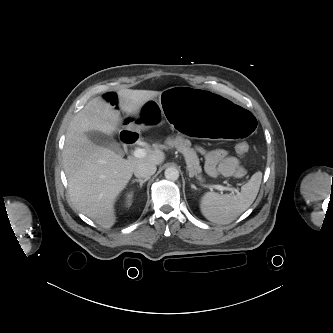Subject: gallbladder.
<instances>
[{
	"label": "gallbladder",
	"instance_id": "gallbladder-1",
	"mask_svg": "<svg viewBox=\"0 0 333 333\" xmlns=\"http://www.w3.org/2000/svg\"><path fill=\"white\" fill-rule=\"evenodd\" d=\"M87 136L93 143L108 148L119 155L123 154L121 145L112 136L99 131H90Z\"/></svg>",
	"mask_w": 333,
	"mask_h": 333
}]
</instances>
